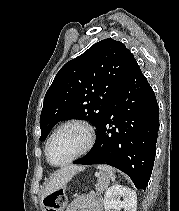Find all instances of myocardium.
I'll use <instances>...</instances> for the list:
<instances>
[{
    "instance_id": "1",
    "label": "myocardium",
    "mask_w": 179,
    "mask_h": 211,
    "mask_svg": "<svg viewBox=\"0 0 179 211\" xmlns=\"http://www.w3.org/2000/svg\"><path fill=\"white\" fill-rule=\"evenodd\" d=\"M69 126H77L84 130L85 135H86L85 143H84L83 147L72 158H70L69 160H67L64 163L54 164L51 162V160L49 158V154H48L49 145H50L52 139L55 137V135L59 131H61L62 129L69 127ZM95 138H96L95 130H94L93 126L88 121L83 120V119H78V118L66 120L63 123H61L59 126H57L54 129V131L51 133L49 138L47 139L46 144H45V149H44L46 160L51 166H54V167L67 166V165L73 163L74 161H76L77 159H79L81 156L88 153L94 146Z\"/></svg>"
}]
</instances>
